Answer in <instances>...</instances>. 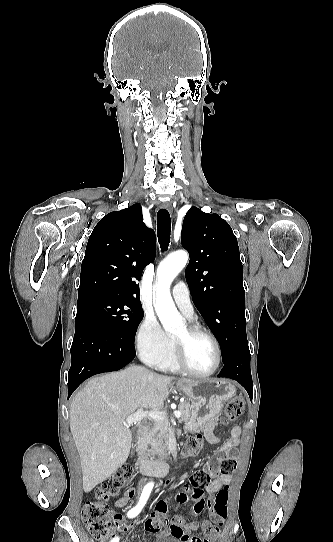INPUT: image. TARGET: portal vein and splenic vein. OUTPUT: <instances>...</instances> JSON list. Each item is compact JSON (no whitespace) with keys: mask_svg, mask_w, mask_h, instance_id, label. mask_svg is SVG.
I'll return each instance as SVG.
<instances>
[{"mask_svg":"<svg viewBox=\"0 0 333 542\" xmlns=\"http://www.w3.org/2000/svg\"><path fill=\"white\" fill-rule=\"evenodd\" d=\"M175 418H181L182 414L181 412H173ZM166 414L165 412H159V410H151V412H144L143 408H139L135 414H132V416H128L126 420H124L123 424L125 426H131V424H137V422H141L143 418H153V420H164Z\"/></svg>","mask_w":333,"mask_h":542,"instance_id":"18ae733b","label":"portal vein and splenic vein"}]
</instances>
